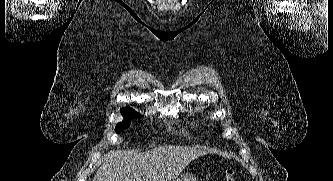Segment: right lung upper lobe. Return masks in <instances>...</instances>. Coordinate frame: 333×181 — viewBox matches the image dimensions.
Instances as JSON below:
<instances>
[{
  "label": "right lung upper lobe",
  "mask_w": 333,
  "mask_h": 181,
  "mask_svg": "<svg viewBox=\"0 0 333 181\" xmlns=\"http://www.w3.org/2000/svg\"><path fill=\"white\" fill-rule=\"evenodd\" d=\"M127 111H132V109H130V108H123V109H121V112H127Z\"/></svg>",
  "instance_id": "cb5924a9"
}]
</instances>
